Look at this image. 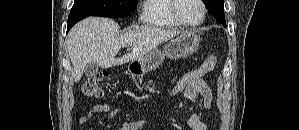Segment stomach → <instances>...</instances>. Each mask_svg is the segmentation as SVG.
Returning <instances> with one entry per match:
<instances>
[{
	"instance_id": "1",
	"label": "stomach",
	"mask_w": 299,
	"mask_h": 130,
	"mask_svg": "<svg viewBox=\"0 0 299 130\" xmlns=\"http://www.w3.org/2000/svg\"><path fill=\"white\" fill-rule=\"evenodd\" d=\"M200 41V37L194 32L179 34L164 46L163 51L154 49L143 58L131 61L128 71L133 75H141L155 70L165 58L179 59L190 56L198 50Z\"/></svg>"
}]
</instances>
